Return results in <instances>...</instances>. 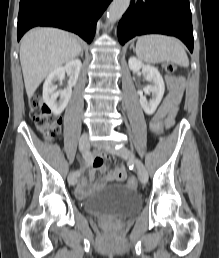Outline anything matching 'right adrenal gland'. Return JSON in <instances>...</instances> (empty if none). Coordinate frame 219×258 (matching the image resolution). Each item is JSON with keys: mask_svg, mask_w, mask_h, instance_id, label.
<instances>
[{"mask_svg": "<svg viewBox=\"0 0 219 258\" xmlns=\"http://www.w3.org/2000/svg\"><path fill=\"white\" fill-rule=\"evenodd\" d=\"M81 58H83V49L80 50V54Z\"/></svg>", "mask_w": 219, "mask_h": 258, "instance_id": "right-adrenal-gland-1", "label": "right adrenal gland"}]
</instances>
